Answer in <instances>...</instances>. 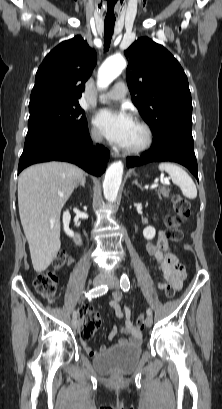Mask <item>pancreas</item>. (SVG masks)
I'll return each instance as SVG.
<instances>
[{"label":"pancreas","mask_w":222,"mask_h":409,"mask_svg":"<svg viewBox=\"0 0 222 409\" xmlns=\"http://www.w3.org/2000/svg\"><path fill=\"white\" fill-rule=\"evenodd\" d=\"M169 193H170V190L167 189V188H160V189L158 190V196H159L160 199H161V194H162L164 197L168 198V197H169Z\"/></svg>","instance_id":"obj_1"}]
</instances>
